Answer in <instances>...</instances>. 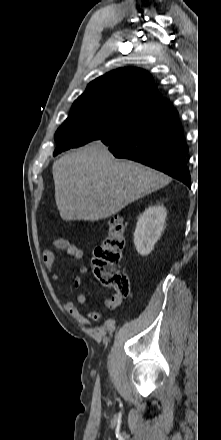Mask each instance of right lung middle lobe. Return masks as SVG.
Instances as JSON below:
<instances>
[{
	"instance_id": "1",
	"label": "right lung middle lobe",
	"mask_w": 221,
	"mask_h": 440,
	"mask_svg": "<svg viewBox=\"0 0 221 440\" xmlns=\"http://www.w3.org/2000/svg\"><path fill=\"white\" fill-rule=\"evenodd\" d=\"M134 112L109 101L74 102L70 115L55 134L57 148L53 155L100 139Z\"/></svg>"
}]
</instances>
